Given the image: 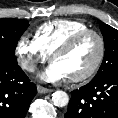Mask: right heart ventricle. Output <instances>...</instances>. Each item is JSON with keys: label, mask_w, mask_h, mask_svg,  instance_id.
Returning a JSON list of instances; mask_svg holds the SVG:
<instances>
[{"label": "right heart ventricle", "mask_w": 118, "mask_h": 118, "mask_svg": "<svg viewBox=\"0 0 118 118\" xmlns=\"http://www.w3.org/2000/svg\"><path fill=\"white\" fill-rule=\"evenodd\" d=\"M86 29L88 25L81 20L57 19L41 24L35 31V39L51 55L68 38Z\"/></svg>", "instance_id": "e07e8e85"}]
</instances>
